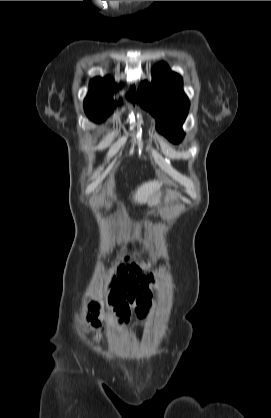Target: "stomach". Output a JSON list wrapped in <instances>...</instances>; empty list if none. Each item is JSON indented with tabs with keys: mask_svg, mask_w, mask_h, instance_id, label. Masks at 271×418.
<instances>
[{
	"mask_svg": "<svg viewBox=\"0 0 271 418\" xmlns=\"http://www.w3.org/2000/svg\"><path fill=\"white\" fill-rule=\"evenodd\" d=\"M160 197H161V192L159 191L149 199L148 205L156 206L160 202Z\"/></svg>",
	"mask_w": 271,
	"mask_h": 418,
	"instance_id": "obj_1",
	"label": "stomach"
}]
</instances>
